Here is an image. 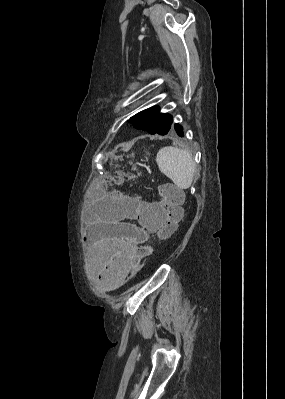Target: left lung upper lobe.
<instances>
[{"instance_id": "left-lung-upper-lobe-1", "label": "left lung upper lobe", "mask_w": 285, "mask_h": 399, "mask_svg": "<svg viewBox=\"0 0 285 399\" xmlns=\"http://www.w3.org/2000/svg\"><path fill=\"white\" fill-rule=\"evenodd\" d=\"M134 128L149 132L150 134L165 135L169 132L173 118L170 114L160 113L159 107L145 109L129 120Z\"/></svg>"}]
</instances>
